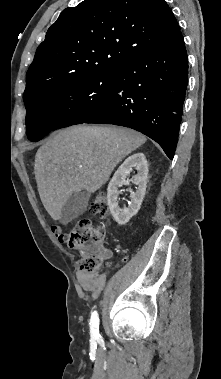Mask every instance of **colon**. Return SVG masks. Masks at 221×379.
<instances>
[{
	"label": "colon",
	"instance_id": "5ec220e1",
	"mask_svg": "<svg viewBox=\"0 0 221 379\" xmlns=\"http://www.w3.org/2000/svg\"><path fill=\"white\" fill-rule=\"evenodd\" d=\"M90 211L102 216L108 213V202L104 193L95 196L90 205ZM51 230L60 242L66 243L71 249L82 254L78 263L82 272L93 273L99 270L104 236L100 226L88 219H82L70 232H64L60 226H52Z\"/></svg>",
	"mask_w": 221,
	"mask_h": 379
}]
</instances>
